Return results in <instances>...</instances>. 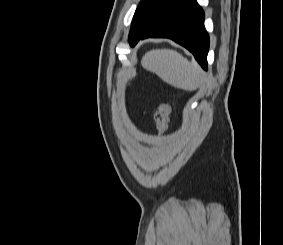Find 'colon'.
Masks as SVG:
<instances>
[{"instance_id": "1", "label": "colon", "mask_w": 283, "mask_h": 245, "mask_svg": "<svg viewBox=\"0 0 283 245\" xmlns=\"http://www.w3.org/2000/svg\"><path fill=\"white\" fill-rule=\"evenodd\" d=\"M171 105L169 102H162L158 105L155 112V121L160 133L167 131L171 115Z\"/></svg>"}]
</instances>
